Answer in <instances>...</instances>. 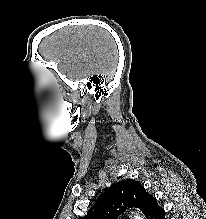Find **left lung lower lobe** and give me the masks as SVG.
<instances>
[{
    "mask_svg": "<svg viewBox=\"0 0 206 219\" xmlns=\"http://www.w3.org/2000/svg\"><path fill=\"white\" fill-rule=\"evenodd\" d=\"M146 217L147 219H165V211L158 205L157 200L154 197L151 201V207Z\"/></svg>",
    "mask_w": 206,
    "mask_h": 219,
    "instance_id": "0a47b994",
    "label": "left lung lower lobe"
}]
</instances>
